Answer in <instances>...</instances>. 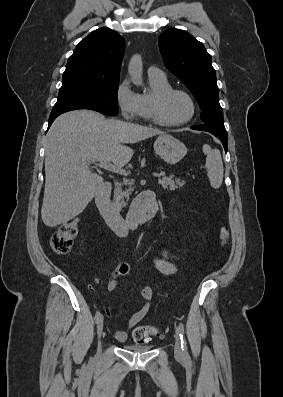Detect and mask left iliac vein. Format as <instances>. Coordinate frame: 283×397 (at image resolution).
I'll list each match as a JSON object with an SVG mask.
<instances>
[{"instance_id": "4c4485c4", "label": "left iliac vein", "mask_w": 283, "mask_h": 397, "mask_svg": "<svg viewBox=\"0 0 283 397\" xmlns=\"http://www.w3.org/2000/svg\"><path fill=\"white\" fill-rule=\"evenodd\" d=\"M174 354L175 357L181 359L183 357V352L181 350V343L178 333L176 334L175 345H174Z\"/></svg>"}]
</instances>
